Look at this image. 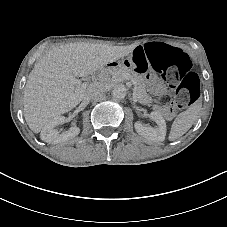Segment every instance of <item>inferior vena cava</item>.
Returning <instances> with one entry per match:
<instances>
[{
  "mask_svg": "<svg viewBox=\"0 0 227 227\" xmlns=\"http://www.w3.org/2000/svg\"><path fill=\"white\" fill-rule=\"evenodd\" d=\"M88 91L92 93L96 98L100 99L105 93V89L99 83H94L88 88Z\"/></svg>",
  "mask_w": 227,
  "mask_h": 227,
  "instance_id": "inferior-vena-cava-1",
  "label": "inferior vena cava"
}]
</instances>
